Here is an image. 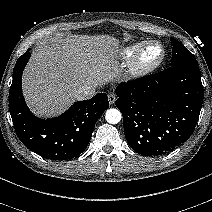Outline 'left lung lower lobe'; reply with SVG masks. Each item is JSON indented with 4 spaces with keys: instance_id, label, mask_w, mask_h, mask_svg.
<instances>
[{
    "instance_id": "obj_1",
    "label": "left lung lower lobe",
    "mask_w": 212,
    "mask_h": 212,
    "mask_svg": "<svg viewBox=\"0 0 212 212\" xmlns=\"http://www.w3.org/2000/svg\"><path fill=\"white\" fill-rule=\"evenodd\" d=\"M115 92L127 142L145 156L162 155L187 141L203 102L198 63L120 83Z\"/></svg>"
}]
</instances>
